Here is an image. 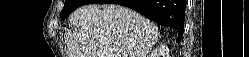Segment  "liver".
Segmentation results:
<instances>
[{
    "label": "liver",
    "instance_id": "1",
    "mask_svg": "<svg viewBox=\"0 0 249 57\" xmlns=\"http://www.w3.org/2000/svg\"><path fill=\"white\" fill-rule=\"evenodd\" d=\"M78 30L66 41L69 57H146L157 43V25L118 4H88L70 17Z\"/></svg>",
    "mask_w": 249,
    "mask_h": 57
}]
</instances>
